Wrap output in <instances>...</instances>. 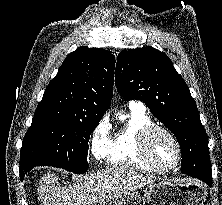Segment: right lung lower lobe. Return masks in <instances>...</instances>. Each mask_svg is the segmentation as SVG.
<instances>
[{"label":"right lung lower lobe","mask_w":222,"mask_h":205,"mask_svg":"<svg viewBox=\"0 0 222 205\" xmlns=\"http://www.w3.org/2000/svg\"><path fill=\"white\" fill-rule=\"evenodd\" d=\"M33 167H20V179L23 181L24 174L30 171Z\"/></svg>","instance_id":"1"}]
</instances>
